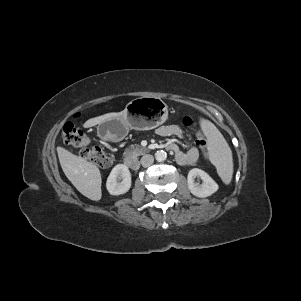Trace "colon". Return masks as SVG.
I'll return each mask as SVG.
<instances>
[{
	"label": "colon",
	"mask_w": 301,
	"mask_h": 301,
	"mask_svg": "<svg viewBox=\"0 0 301 301\" xmlns=\"http://www.w3.org/2000/svg\"><path fill=\"white\" fill-rule=\"evenodd\" d=\"M182 123L190 127L193 125L191 117L186 116L183 118ZM63 141L71 146L80 148V155L83 159L90 161L100 168H107L111 164L108 155L98 146L88 147L89 138L86 133L74 125L72 122H67L61 131ZM196 145L199 146L204 153H206L207 142L201 132L196 134Z\"/></svg>",
	"instance_id": "5ec220e1"
}]
</instances>
